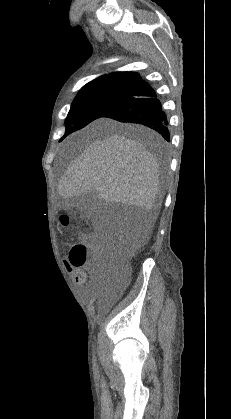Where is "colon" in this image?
I'll list each match as a JSON object with an SVG mask.
<instances>
[{
  "label": "colon",
  "mask_w": 231,
  "mask_h": 419,
  "mask_svg": "<svg viewBox=\"0 0 231 419\" xmlns=\"http://www.w3.org/2000/svg\"><path fill=\"white\" fill-rule=\"evenodd\" d=\"M105 258L106 262H103ZM89 262L98 270V278L109 286L119 285L128 275L129 265L124 254L103 249L96 244H76L69 253V263L81 266Z\"/></svg>",
  "instance_id": "5ec220e1"
}]
</instances>
